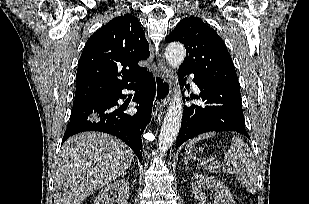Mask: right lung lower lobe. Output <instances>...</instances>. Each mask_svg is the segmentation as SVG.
<instances>
[{
    "instance_id": "obj_1",
    "label": "right lung lower lobe",
    "mask_w": 309,
    "mask_h": 204,
    "mask_svg": "<svg viewBox=\"0 0 309 204\" xmlns=\"http://www.w3.org/2000/svg\"><path fill=\"white\" fill-rule=\"evenodd\" d=\"M140 92L133 101L137 112L133 115L124 113L123 106L118 107L117 101L126 96L124 88L134 89V83L109 94L87 101L74 103L70 123L65 131L62 143L70 136L84 131H100L109 133L124 141L142 160L141 135L151 120V110L156 85L153 76L147 72L138 80Z\"/></svg>"
}]
</instances>
